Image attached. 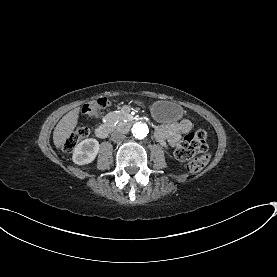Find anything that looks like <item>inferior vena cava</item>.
Here are the masks:
<instances>
[{
    "label": "inferior vena cava",
    "mask_w": 277,
    "mask_h": 277,
    "mask_svg": "<svg viewBox=\"0 0 277 277\" xmlns=\"http://www.w3.org/2000/svg\"><path fill=\"white\" fill-rule=\"evenodd\" d=\"M125 138H126L125 135L122 134V133H119V132H113V133L111 134V140H112L113 142H121V141H123Z\"/></svg>",
    "instance_id": "602c4592"
}]
</instances>
